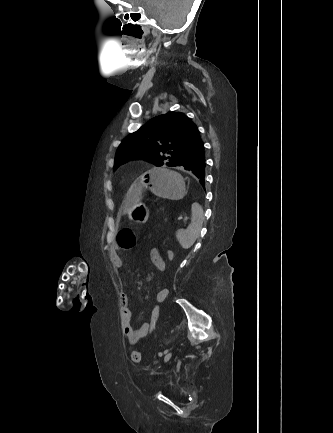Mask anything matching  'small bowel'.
Here are the masks:
<instances>
[{"instance_id":"small-bowel-1","label":"small bowel","mask_w":333,"mask_h":433,"mask_svg":"<svg viewBox=\"0 0 333 433\" xmlns=\"http://www.w3.org/2000/svg\"><path fill=\"white\" fill-rule=\"evenodd\" d=\"M109 257L112 262V264L120 269L122 267V260L118 254V250L115 245H112L109 251ZM149 257L151 262L154 264V266L160 270L165 271L166 270V262L160 255L159 251L157 249H151L149 253ZM169 294L168 289L163 288L159 290L155 296V303L161 302L163 303L167 296ZM130 299L129 296L126 293H122L120 295V321H121V328L122 332L128 341L129 344L135 345L140 340L144 339L146 336L149 335V333L152 331L150 330V324L149 322L143 323L138 328H134L131 323L132 313L129 307ZM155 304L153 305V307ZM152 307V309H153Z\"/></svg>"}]
</instances>
